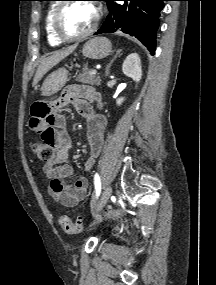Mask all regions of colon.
Instances as JSON below:
<instances>
[{
    "mask_svg": "<svg viewBox=\"0 0 216 285\" xmlns=\"http://www.w3.org/2000/svg\"><path fill=\"white\" fill-rule=\"evenodd\" d=\"M30 150L41 161L47 162L53 157V147H49V144H43V141H33L30 144ZM121 214L122 212L120 210H108L105 216L107 218H118ZM59 224L67 234H76L83 229V222L81 220L73 222L66 215L59 217Z\"/></svg>",
    "mask_w": 216,
    "mask_h": 285,
    "instance_id": "1",
    "label": "colon"
}]
</instances>
